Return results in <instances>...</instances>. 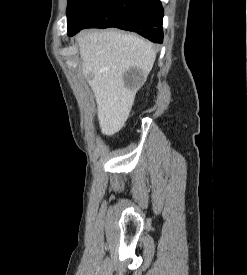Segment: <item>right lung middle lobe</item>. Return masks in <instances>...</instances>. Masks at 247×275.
<instances>
[{
	"label": "right lung middle lobe",
	"mask_w": 247,
	"mask_h": 275,
	"mask_svg": "<svg viewBox=\"0 0 247 275\" xmlns=\"http://www.w3.org/2000/svg\"><path fill=\"white\" fill-rule=\"evenodd\" d=\"M103 0H68L67 6V23L68 29L71 28L78 17L88 9L92 8L96 4Z\"/></svg>",
	"instance_id": "1"
}]
</instances>
